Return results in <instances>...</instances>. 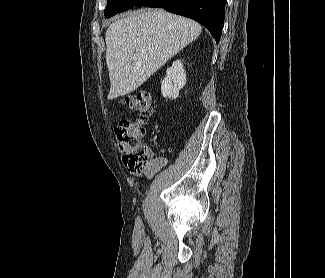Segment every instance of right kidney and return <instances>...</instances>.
Masks as SVG:
<instances>
[{
  "label": "right kidney",
  "mask_w": 325,
  "mask_h": 278,
  "mask_svg": "<svg viewBox=\"0 0 325 278\" xmlns=\"http://www.w3.org/2000/svg\"><path fill=\"white\" fill-rule=\"evenodd\" d=\"M166 73L161 84V93L165 98L176 99L179 96V91L186 84V73L182 62L180 60L173 62Z\"/></svg>",
  "instance_id": "ca27d5eb"
}]
</instances>
